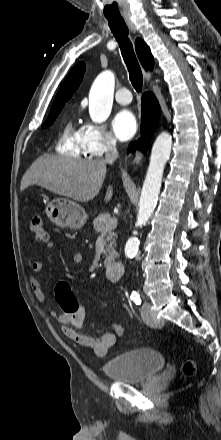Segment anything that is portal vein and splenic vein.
<instances>
[{
  "instance_id": "portal-vein-and-splenic-vein-1",
  "label": "portal vein and splenic vein",
  "mask_w": 221,
  "mask_h": 440,
  "mask_svg": "<svg viewBox=\"0 0 221 440\" xmlns=\"http://www.w3.org/2000/svg\"><path fill=\"white\" fill-rule=\"evenodd\" d=\"M117 218L116 217H113V218H111L110 220H109V224H108V226H107V229L108 230H111V229H114L116 226H117Z\"/></svg>"
}]
</instances>
